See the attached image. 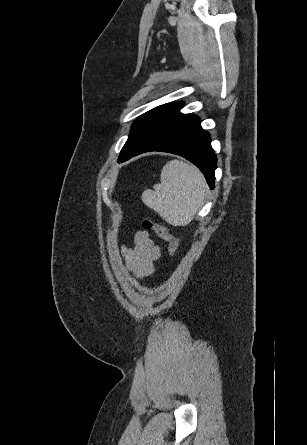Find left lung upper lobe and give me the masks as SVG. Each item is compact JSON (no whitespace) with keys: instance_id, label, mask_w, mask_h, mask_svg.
Returning a JSON list of instances; mask_svg holds the SVG:
<instances>
[{"instance_id":"1","label":"left lung upper lobe","mask_w":307,"mask_h":445,"mask_svg":"<svg viewBox=\"0 0 307 445\" xmlns=\"http://www.w3.org/2000/svg\"><path fill=\"white\" fill-rule=\"evenodd\" d=\"M182 104V102L164 104L139 116L133 123L132 131L120 152L118 162H124L148 138L183 116L178 111Z\"/></svg>"}]
</instances>
